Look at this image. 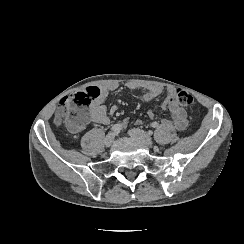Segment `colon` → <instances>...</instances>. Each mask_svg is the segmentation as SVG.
Segmentation results:
<instances>
[{"label": "colon", "mask_w": 244, "mask_h": 244, "mask_svg": "<svg viewBox=\"0 0 244 244\" xmlns=\"http://www.w3.org/2000/svg\"><path fill=\"white\" fill-rule=\"evenodd\" d=\"M101 90L96 85L83 84L79 91H72L68 95V102H61L56 110L55 121L65 123L71 133L81 131L92 118L88 105L99 100ZM170 103L182 106L193 104V95L184 88H178L169 98Z\"/></svg>", "instance_id": "5ec220e1"}]
</instances>
